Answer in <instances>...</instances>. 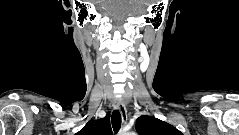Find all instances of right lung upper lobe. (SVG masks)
Instances as JSON below:
<instances>
[{"label":"right lung upper lobe","instance_id":"right-lung-upper-lobe-1","mask_svg":"<svg viewBox=\"0 0 239 135\" xmlns=\"http://www.w3.org/2000/svg\"><path fill=\"white\" fill-rule=\"evenodd\" d=\"M109 117L107 113L104 118L90 120L76 135H112Z\"/></svg>","mask_w":239,"mask_h":135}]
</instances>
